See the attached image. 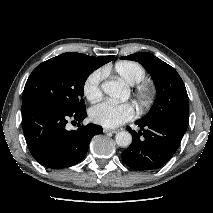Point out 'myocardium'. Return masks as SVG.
<instances>
[{
    "label": "myocardium",
    "instance_id": "myocardium-1",
    "mask_svg": "<svg viewBox=\"0 0 213 213\" xmlns=\"http://www.w3.org/2000/svg\"><path fill=\"white\" fill-rule=\"evenodd\" d=\"M133 94L139 104L147 105L153 100L155 89L147 83H138L133 89Z\"/></svg>",
    "mask_w": 213,
    "mask_h": 213
}]
</instances>
